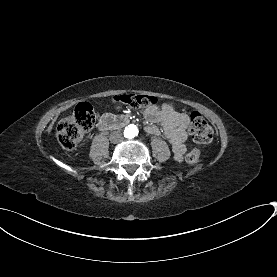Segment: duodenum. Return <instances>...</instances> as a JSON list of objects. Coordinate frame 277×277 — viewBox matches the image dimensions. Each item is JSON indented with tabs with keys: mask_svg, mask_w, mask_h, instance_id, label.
I'll use <instances>...</instances> for the list:
<instances>
[{
	"mask_svg": "<svg viewBox=\"0 0 277 277\" xmlns=\"http://www.w3.org/2000/svg\"><path fill=\"white\" fill-rule=\"evenodd\" d=\"M129 123L126 116L105 115L97 123L99 130H112L125 127Z\"/></svg>",
	"mask_w": 277,
	"mask_h": 277,
	"instance_id": "1",
	"label": "duodenum"
}]
</instances>
